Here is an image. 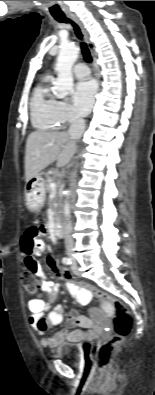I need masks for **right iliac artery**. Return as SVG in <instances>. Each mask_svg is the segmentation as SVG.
I'll use <instances>...</instances> for the list:
<instances>
[{
  "label": "right iliac artery",
  "instance_id": "1",
  "mask_svg": "<svg viewBox=\"0 0 155 395\" xmlns=\"http://www.w3.org/2000/svg\"><path fill=\"white\" fill-rule=\"evenodd\" d=\"M62 262L65 265H70L71 264V259L69 257H64Z\"/></svg>",
  "mask_w": 155,
  "mask_h": 395
}]
</instances>
